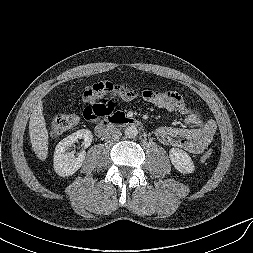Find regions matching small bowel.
Returning a JSON list of instances; mask_svg holds the SVG:
<instances>
[{"label": "small bowel", "mask_w": 253, "mask_h": 253, "mask_svg": "<svg viewBox=\"0 0 253 253\" xmlns=\"http://www.w3.org/2000/svg\"><path fill=\"white\" fill-rule=\"evenodd\" d=\"M111 94L115 98L131 101L136 92L126 84H117L111 81H101L86 87L83 100L88 110L94 104H104L114 111V102L105 97ZM144 100L154 106L184 116V124L188 128H175L161 126L155 131L157 139L166 146L179 147L192 154L202 153L212 141L216 124L213 120H205L198 112L193 110L177 91H146Z\"/></svg>", "instance_id": "obj_1"}]
</instances>
